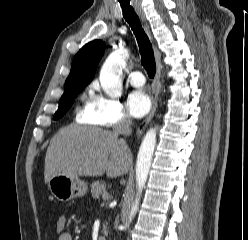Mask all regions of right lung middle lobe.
<instances>
[{
	"label": "right lung middle lobe",
	"instance_id": "dd1d6c3e",
	"mask_svg": "<svg viewBox=\"0 0 248 240\" xmlns=\"http://www.w3.org/2000/svg\"><path fill=\"white\" fill-rule=\"evenodd\" d=\"M84 87L85 86L81 85L79 82H70L65 85V92L60 99L59 108L54 114V120L61 118L67 112L75 97L81 90H83Z\"/></svg>",
	"mask_w": 248,
	"mask_h": 240
}]
</instances>
